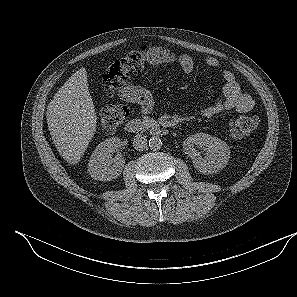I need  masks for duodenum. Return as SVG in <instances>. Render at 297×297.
<instances>
[{
	"instance_id": "duodenum-1",
	"label": "duodenum",
	"mask_w": 297,
	"mask_h": 297,
	"mask_svg": "<svg viewBox=\"0 0 297 297\" xmlns=\"http://www.w3.org/2000/svg\"><path fill=\"white\" fill-rule=\"evenodd\" d=\"M124 130L127 133L138 134L145 130H148L150 133L157 136H164L167 133V129L156 124H147L141 119H131L129 120L125 126Z\"/></svg>"
}]
</instances>
